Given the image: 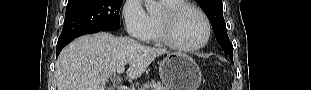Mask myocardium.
<instances>
[{"instance_id":"obj_1","label":"myocardium","mask_w":311,"mask_h":90,"mask_svg":"<svg viewBox=\"0 0 311 90\" xmlns=\"http://www.w3.org/2000/svg\"><path fill=\"white\" fill-rule=\"evenodd\" d=\"M186 10H193L197 14L200 15V17L203 19L205 28H206V34L205 37L201 42H199L196 45L192 46H184L179 44L176 39L174 38V26L179 18V16ZM159 21V32H160V37L162 43H164L166 46L169 48L178 51V52H183V53H189V52H194L197 50L202 49L206 44L209 42L210 37H211V23L208 18V16L197 6L190 4V3H185L182 2L179 5H176L172 8L165 9L161 15H159L158 18Z\"/></svg>"}]
</instances>
